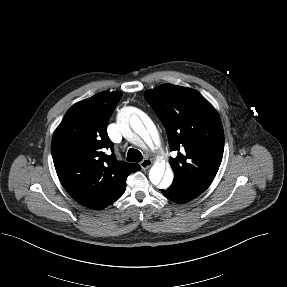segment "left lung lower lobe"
<instances>
[{"mask_svg":"<svg viewBox=\"0 0 287 287\" xmlns=\"http://www.w3.org/2000/svg\"><path fill=\"white\" fill-rule=\"evenodd\" d=\"M161 192L166 198L172 200L175 203L180 204L186 203L194 199L195 197L199 196L175 182H173L168 189L165 190L161 189Z\"/></svg>","mask_w":287,"mask_h":287,"instance_id":"obj_1","label":"left lung lower lobe"}]
</instances>
